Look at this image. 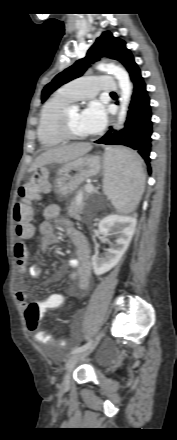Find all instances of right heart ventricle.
Segmentation results:
<instances>
[{"label":"right heart ventricle","instance_id":"1","mask_svg":"<svg viewBox=\"0 0 177 440\" xmlns=\"http://www.w3.org/2000/svg\"><path fill=\"white\" fill-rule=\"evenodd\" d=\"M73 101L71 94L61 88L44 104L37 127L38 140L44 148L56 147L64 142L58 131V120L62 110Z\"/></svg>","mask_w":177,"mask_h":440}]
</instances>
